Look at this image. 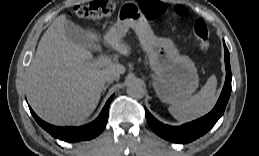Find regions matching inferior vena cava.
<instances>
[{"label":"inferior vena cava","mask_w":259,"mask_h":156,"mask_svg":"<svg viewBox=\"0 0 259 156\" xmlns=\"http://www.w3.org/2000/svg\"><path fill=\"white\" fill-rule=\"evenodd\" d=\"M120 77V73L117 72V71H111V72H108L106 75H105V80L107 82H112L114 80H118Z\"/></svg>","instance_id":"602c4592"}]
</instances>
